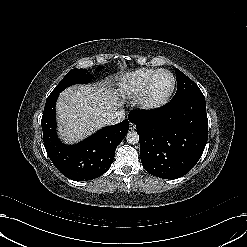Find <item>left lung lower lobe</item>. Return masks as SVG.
I'll use <instances>...</instances> for the list:
<instances>
[{"mask_svg":"<svg viewBox=\"0 0 247 247\" xmlns=\"http://www.w3.org/2000/svg\"><path fill=\"white\" fill-rule=\"evenodd\" d=\"M144 169L163 179L187 174L200 159L208 138L206 102L202 92L171 100L160 109L132 111Z\"/></svg>","mask_w":247,"mask_h":247,"instance_id":"left-lung-lower-lobe-1","label":"left lung lower lobe"}]
</instances>
